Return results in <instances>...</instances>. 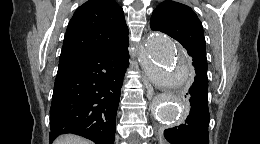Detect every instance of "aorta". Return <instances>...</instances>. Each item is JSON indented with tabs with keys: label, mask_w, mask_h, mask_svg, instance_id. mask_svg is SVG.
I'll list each match as a JSON object with an SVG mask.
<instances>
[{
	"label": "aorta",
	"mask_w": 260,
	"mask_h": 144,
	"mask_svg": "<svg viewBox=\"0 0 260 144\" xmlns=\"http://www.w3.org/2000/svg\"><path fill=\"white\" fill-rule=\"evenodd\" d=\"M145 58L142 66L149 80L160 86L173 89L152 100L156 119L162 123H177L185 116L182 90L190 76V59L187 54L168 36L151 33L143 46Z\"/></svg>",
	"instance_id": "aorta-1"
}]
</instances>
